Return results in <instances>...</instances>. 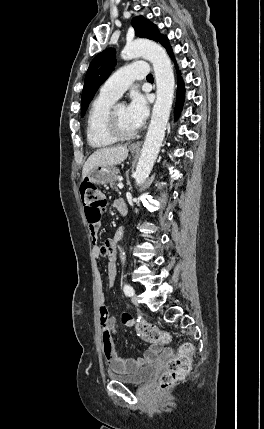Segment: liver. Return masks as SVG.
Segmentation results:
<instances>
[{
    "label": "liver",
    "instance_id": "obj_1",
    "mask_svg": "<svg viewBox=\"0 0 264 429\" xmlns=\"http://www.w3.org/2000/svg\"><path fill=\"white\" fill-rule=\"evenodd\" d=\"M127 156L128 149L125 145L98 149L85 162L82 170V177L85 178L98 166L120 164L127 158Z\"/></svg>",
    "mask_w": 264,
    "mask_h": 429
}]
</instances>
